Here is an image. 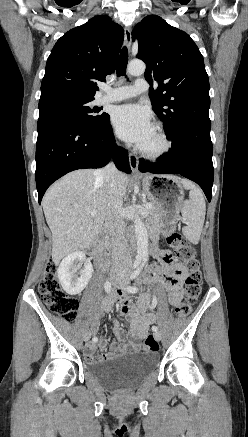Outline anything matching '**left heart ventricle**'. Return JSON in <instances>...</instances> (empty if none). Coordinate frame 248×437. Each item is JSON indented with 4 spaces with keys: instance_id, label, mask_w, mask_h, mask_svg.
Returning <instances> with one entry per match:
<instances>
[{
    "instance_id": "left-heart-ventricle-1",
    "label": "left heart ventricle",
    "mask_w": 248,
    "mask_h": 437,
    "mask_svg": "<svg viewBox=\"0 0 248 437\" xmlns=\"http://www.w3.org/2000/svg\"><path fill=\"white\" fill-rule=\"evenodd\" d=\"M140 145L147 149H156L160 146V141L154 129Z\"/></svg>"
}]
</instances>
